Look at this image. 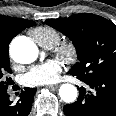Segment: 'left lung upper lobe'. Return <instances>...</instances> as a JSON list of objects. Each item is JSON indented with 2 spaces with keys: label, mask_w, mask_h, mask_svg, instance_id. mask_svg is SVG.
Instances as JSON below:
<instances>
[{
  "label": "left lung upper lobe",
  "mask_w": 116,
  "mask_h": 116,
  "mask_svg": "<svg viewBox=\"0 0 116 116\" xmlns=\"http://www.w3.org/2000/svg\"><path fill=\"white\" fill-rule=\"evenodd\" d=\"M73 42L79 62L69 71L79 79L94 80L116 76V25L91 13L68 18L47 19Z\"/></svg>",
  "instance_id": "left-lung-upper-lobe-1"
}]
</instances>
